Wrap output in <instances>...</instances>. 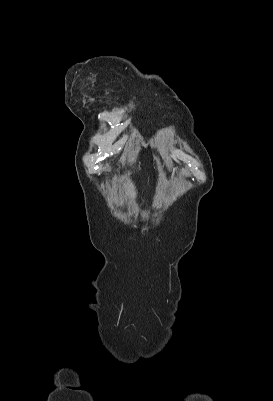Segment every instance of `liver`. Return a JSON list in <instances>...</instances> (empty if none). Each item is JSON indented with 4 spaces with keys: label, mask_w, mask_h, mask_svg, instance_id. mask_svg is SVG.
<instances>
[{
    "label": "liver",
    "mask_w": 273,
    "mask_h": 401,
    "mask_svg": "<svg viewBox=\"0 0 273 401\" xmlns=\"http://www.w3.org/2000/svg\"><path fill=\"white\" fill-rule=\"evenodd\" d=\"M126 194H128V196H130V198H135V190H134V186H132V182H127Z\"/></svg>",
    "instance_id": "6515ba94"
}]
</instances>
